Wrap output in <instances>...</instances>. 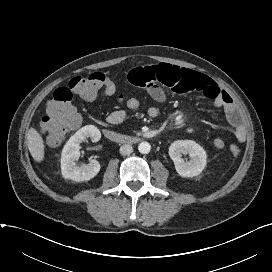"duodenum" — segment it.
<instances>
[{
  "instance_id": "1",
  "label": "duodenum",
  "mask_w": 272,
  "mask_h": 272,
  "mask_svg": "<svg viewBox=\"0 0 272 272\" xmlns=\"http://www.w3.org/2000/svg\"><path fill=\"white\" fill-rule=\"evenodd\" d=\"M103 135L105 136L106 139L115 143L135 144L141 140V138L138 136L126 135L109 129H104Z\"/></svg>"
}]
</instances>
